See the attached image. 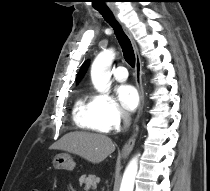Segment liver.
<instances>
[{
	"instance_id": "1",
	"label": "liver",
	"mask_w": 210,
	"mask_h": 191,
	"mask_svg": "<svg viewBox=\"0 0 210 191\" xmlns=\"http://www.w3.org/2000/svg\"><path fill=\"white\" fill-rule=\"evenodd\" d=\"M50 149L67 151L96 164L114 152L115 144L103 134L70 132L54 143Z\"/></svg>"
}]
</instances>
